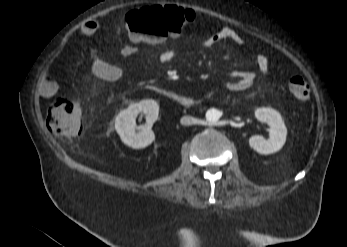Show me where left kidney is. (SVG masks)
Returning a JSON list of instances; mask_svg holds the SVG:
<instances>
[{
	"instance_id": "obj_1",
	"label": "left kidney",
	"mask_w": 347,
	"mask_h": 247,
	"mask_svg": "<svg viewBox=\"0 0 347 247\" xmlns=\"http://www.w3.org/2000/svg\"><path fill=\"white\" fill-rule=\"evenodd\" d=\"M255 117L270 127L269 138L254 135L249 139V145L260 154H272L279 151L286 142L287 128L280 113L272 108H258Z\"/></svg>"
}]
</instances>
